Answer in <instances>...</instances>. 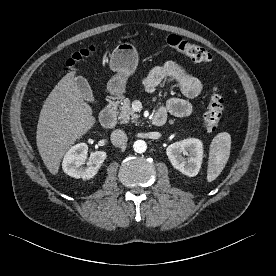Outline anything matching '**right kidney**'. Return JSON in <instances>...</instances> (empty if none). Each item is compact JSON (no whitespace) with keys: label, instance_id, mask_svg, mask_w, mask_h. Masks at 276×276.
Listing matches in <instances>:
<instances>
[{"label":"right kidney","instance_id":"right-kidney-1","mask_svg":"<svg viewBox=\"0 0 276 276\" xmlns=\"http://www.w3.org/2000/svg\"><path fill=\"white\" fill-rule=\"evenodd\" d=\"M87 152L88 146L86 143L72 146L63 159L62 168L64 172L71 177L82 178L83 180L93 178L105 161L107 154L105 151L92 153L85 167L83 164L86 160Z\"/></svg>","mask_w":276,"mask_h":276}]
</instances>
